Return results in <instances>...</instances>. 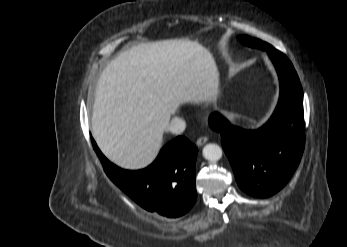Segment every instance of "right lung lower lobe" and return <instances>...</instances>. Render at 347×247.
Returning <instances> with one entry per match:
<instances>
[{"label":"right lung lower lobe","mask_w":347,"mask_h":247,"mask_svg":"<svg viewBox=\"0 0 347 247\" xmlns=\"http://www.w3.org/2000/svg\"><path fill=\"white\" fill-rule=\"evenodd\" d=\"M107 176L144 209L166 217H179L195 204V163L198 150L178 136L164 146L157 159L138 171L123 170L101 153L92 139Z\"/></svg>","instance_id":"1"}]
</instances>
